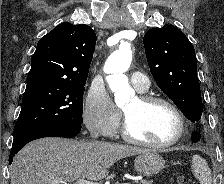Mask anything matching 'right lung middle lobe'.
I'll return each instance as SVG.
<instances>
[{"label": "right lung middle lobe", "instance_id": "dd1d6c3e", "mask_svg": "<svg viewBox=\"0 0 224 184\" xmlns=\"http://www.w3.org/2000/svg\"><path fill=\"white\" fill-rule=\"evenodd\" d=\"M84 85L57 82L27 84L14 136L43 124L81 125Z\"/></svg>", "mask_w": 224, "mask_h": 184}]
</instances>
